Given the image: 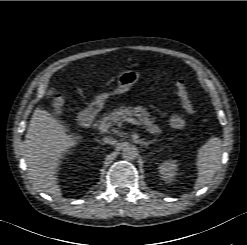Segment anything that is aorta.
Returning <instances> with one entry per match:
<instances>
[{
  "instance_id": "obj_1",
  "label": "aorta",
  "mask_w": 247,
  "mask_h": 245,
  "mask_svg": "<svg viewBox=\"0 0 247 245\" xmlns=\"http://www.w3.org/2000/svg\"><path fill=\"white\" fill-rule=\"evenodd\" d=\"M138 156V149L133 145H125L122 150V157L125 160L133 161Z\"/></svg>"
}]
</instances>
